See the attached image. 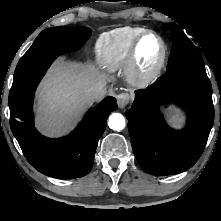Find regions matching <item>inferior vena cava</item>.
Returning a JSON list of instances; mask_svg holds the SVG:
<instances>
[{
  "label": "inferior vena cava",
  "mask_w": 221,
  "mask_h": 221,
  "mask_svg": "<svg viewBox=\"0 0 221 221\" xmlns=\"http://www.w3.org/2000/svg\"><path fill=\"white\" fill-rule=\"evenodd\" d=\"M106 82L100 80L85 89V96L89 102L98 100L105 93Z\"/></svg>",
  "instance_id": "1"
}]
</instances>
